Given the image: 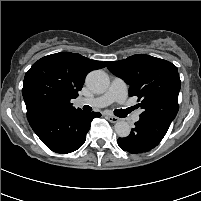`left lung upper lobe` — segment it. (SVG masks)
Returning a JSON list of instances; mask_svg holds the SVG:
<instances>
[{"mask_svg":"<svg viewBox=\"0 0 201 201\" xmlns=\"http://www.w3.org/2000/svg\"><path fill=\"white\" fill-rule=\"evenodd\" d=\"M108 69L130 85V96H137L140 118L173 121L179 110L181 81L177 67L149 55H133L125 60L106 61Z\"/></svg>","mask_w":201,"mask_h":201,"instance_id":"1","label":"left lung upper lobe"}]
</instances>
